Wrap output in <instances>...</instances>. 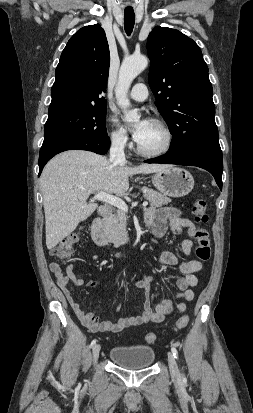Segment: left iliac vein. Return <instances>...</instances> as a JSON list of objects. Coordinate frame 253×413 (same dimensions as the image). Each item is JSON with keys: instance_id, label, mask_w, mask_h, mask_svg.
I'll list each match as a JSON object with an SVG mask.
<instances>
[{"instance_id": "obj_1", "label": "left iliac vein", "mask_w": 253, "mask_h": 413, "mask_svg": "<svg viewBox=\"0 0 253 413\" xmlns=\"http://www.w3.org/2000/svg\"><path fill=\"white\" fill-rule=\"evenodd\" d=\"M168 364L173 379L179 381L181 379V374L177 366L175 357L171 352L168 353Z\"/></svg>"}]
</instances>
